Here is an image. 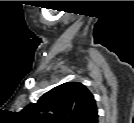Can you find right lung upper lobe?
Segmentation results:
<instances>
[{"label":"right lung upper lobe","mask_w":134,"mask_h":123,"mask_svg":"<svg viewBox=\"0 0 134 123\" xmlns=\"http://www.w3.org/2000/svg\"><path fill=\"white\" fill-rule=\"evenodd\" d=\"M34 123H98L92 93L79 82L61 84L22 110Z\"/></svg>","instance_id":"1"}]
</instances>
